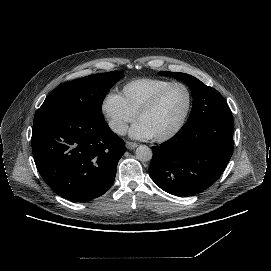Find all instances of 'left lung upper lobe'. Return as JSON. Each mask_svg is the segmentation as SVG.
Masks as SVG:
<instances>
[{"label":"left lung upper lobe","mask_w":271,"mask_h":271,"mask_svg":"<svg viewBox=\"0 0 271 271\" xmlns=\"http://www.w3.org/2000/svg\"><path fill=\"white\" fill-rule=\"evenodd\" d=\"M160 75L183 81L191 89L193 105L190 116L184 126L207 118H233L223 96L214 88L206 86L197 78L179 72H160Z\"/></svg>","instance_id":"left-lung-upper-lobe-1"}]
</instances>
